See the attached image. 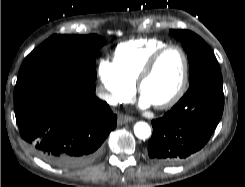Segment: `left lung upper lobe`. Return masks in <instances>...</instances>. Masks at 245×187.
Here are the masks:
<instances>
[{"label":"left lung upper lobe","mask_w":245,"mask_h":187,"mask_svg":"<svg viewBox=\"0 0 245 187\" xmlns=\"http://www.w3.org/2000/svg\"><path fill=\"white\" fill-rule=\"evenodd\" d=\"M183 45L190 66V85L197 80L220 72L218 61L209 46L195 33L188 30H170Z\"/></svg>","instance_id":"obj_1"}]
</instances>
